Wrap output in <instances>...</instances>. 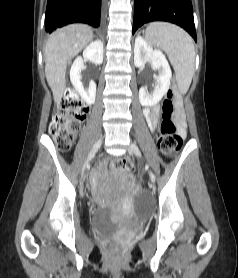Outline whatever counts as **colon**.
I'll use <instances>...</instances> for the list:
<instances>
[{
  "label": "colon",
  "instance_id": "5ec220e1",
  "mask_svg": "<svg viewBox=\"0 0 238 278\" xmlns=\"http://www.w3.org/2000/svg\"><path fill=\"white\" fill-rule=\"evenodd\" d=\"M161 110L162 121L158 132V146L162 154L170 156L182 146V138L175 122V92L172 89L167 91ZM87 113V105L74 91L68 90L49 126V133L60 150L66 151L71 148ZM133 169V162L127 158L116 159L111 163L114 174L128 175Z\"/></svg>",
  "mask_w": 238,
  "mask_h": 278
}]
</instances>
